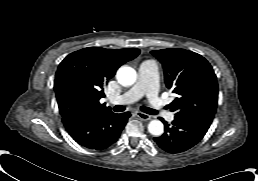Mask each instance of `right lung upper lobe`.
I'll use <instances>...</instances> for the list:
<instances>
[{
    "instance_id": "1",
    "label": "right lung upper lobe",
    "mask_w": 258,
    "mask_h": 181,
    "mask_svg": "<svg viewBox=\"0 0 258 181\" xmlns=\"http://www.w3.org/2000/svg\"><path fill=\"white\" fill-rule=\"evenodd\" d=\"M139 49L88 47L69 54L59 65L54 89L61 116L83 110L111 111L99 100L104 85L124 63L134 59Z\"/></svg>"
}]
</instances>
